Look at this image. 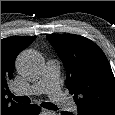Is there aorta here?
Here are the masks:
<instances>
[{"mask_svg":"<svg viewBox=\"0 0 115 115\" xmlns=\"http://www.w3.org/2000/svg\"><path fill=\"white\" fill-rule=\"evenodd\" d=\"M18 72L27 79H36L43 69V60L40 54L33 50L22 52L17 59ZM50 115H55L51 113Z\"/></svg>","mask_w":115,"mask_h":115,"instance_id":"aorta-1","label":"aorta"}]
</instances>
